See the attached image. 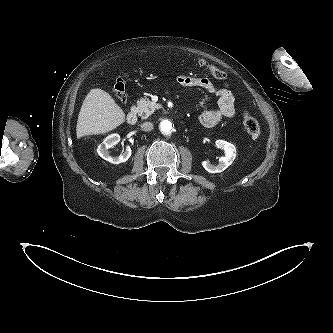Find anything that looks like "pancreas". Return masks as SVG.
<instances>
[{
  "label": "pancreas",
  "instance_id": "cf45deb5",
  "mask_svg": "<svg viewBox=\"0 0 333 333\" xmlns=\"http://www.w3.org/2000/svg\"><path fill=\"white\" fill-rule=\"evenodd\" d=\"M158 107V104L151 102L146 97L137 101V113L143 119L148 118Z\"/></svg>",
  "mask_w": 333,
  "mask_h": 333
}]
</instances>
